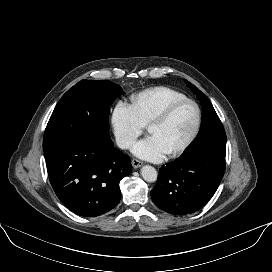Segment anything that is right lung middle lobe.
<instances>
[{
    "mask_svg": "<svg viewBox=\"0 0 272 272\" xmlns=\"http://www.w3.org/2000/svg\"><path fill=\"white\" fill-rule=\"evenodd\" d=\"M121 87L109 80H81L57 103L44 133L43 150L73 135L110 139V105L121 96Z\"/></svg>",
    "mask_w": 272,
    "mask_h": 272,
    "instance_id": "dd1d6c3e",
    "label": "right lung middle lobe"
}]
</instances>
